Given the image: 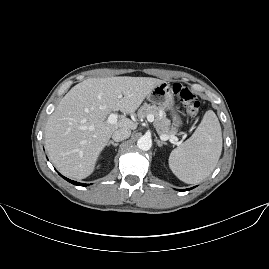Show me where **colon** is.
I'll return each instance as SVG.
<instances>
[{
	"label": "colon",
	"instance_id": "colon-1",
	"mask_svg": "<svg viewBox=\"0 0 269 269\" xmlns=\"http://www.w3.org/2000/svg\"><path fill=\"white\" fill-rule=\"evenodd\" d=\"M172 91L176 101L184 105L188 115L191 117L199 115L201 102L193 92L179 82L173 85Z\"/></svg>",
	"mask_w": 269,
	"mask_h": 269
}]
</instances>
